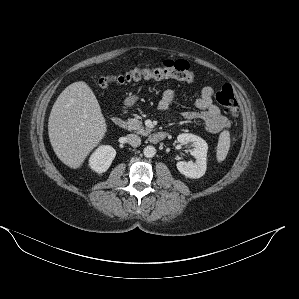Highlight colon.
<instances>
[{"instance_id": "colon-1", "label": "colon", "mask_w": 299, "mask_h": 299, "mask_svg": "<svg viewBox=\"0 0 299 299\" xmlns=\"http://www.w3.org/2000/svg\"><path fill=\"white\" fill-rule=\"evenodd\" d=\"M140 80L192 82L194 73L187 61L167 60L157 66L134 65L119 73L102 76L97 83L101 88H108L113 85ZM216 100L225 108L229 115L232 117L237 116L238 102L231 85L224 84L216 93Z\"/></svg>"}]
</instances>
